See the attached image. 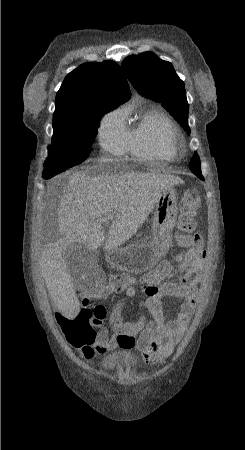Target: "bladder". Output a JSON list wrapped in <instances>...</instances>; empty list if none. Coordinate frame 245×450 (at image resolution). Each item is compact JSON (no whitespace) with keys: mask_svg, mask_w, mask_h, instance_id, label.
I'll return each mask as SVG.
<instances>
[{"mask_svg":"<svg viewBox=\"0 0 245 450\" xmlns=\"http://www.w3.org/2000/svg\"><path fill=\"white\" fill-rule=\"evenodd\" d=\"M136 357L132 350L114 352L102 360V367L106 372H117L120 369L133 371L136 368Z\"/></svg>","mask_w":245,"mask_h":450,"instance_id":"bladder-1","label":"bladder"}]
</instances>
